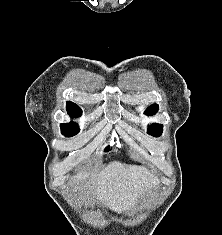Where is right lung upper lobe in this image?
<instances>
[{
	"instance_id": "right-lung-upper-lobe-1",
	"label": "right lung upper lobe",
	"mask_w": 222,
	"mask_h": 235,
	"mask_svg": "<svg viewBox=\"0 0 222 235\" xmlns=\"http://www.w3.org/2000/svg\"><path fill=\"white\" fill-rule=\"evenodd\" d=\"M67 111L72 117L80 116L82 110L73 102H67Z\"/></svg>"
}]
</instances>
